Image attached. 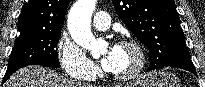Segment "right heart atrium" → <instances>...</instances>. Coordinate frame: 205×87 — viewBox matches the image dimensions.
<instances>
[{
    "label": "right heart atrium",
    "mask_w": 205,
    "mask_h": 87,
    "mask_svg": "<svg viewBox=\"0 0 205 87\" xmlns=\"http://www.w3.org/2000/svg\"><path fill=\"white\" fill-rule=\"evenodd\" d=\"M56 52L61 67L68 76L82 80H90L96 76V66L69 35L60 36Z\"/></svg>",
    "instance_id": "right-heart-atrium-1"
}]
</instances>
